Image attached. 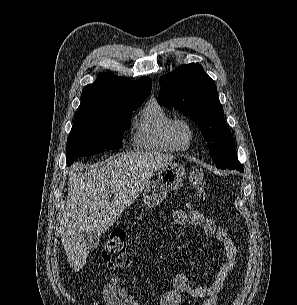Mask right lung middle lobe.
Here are the masks:
<instances>
[{"mask_svg": "<svg viewBox=\"0 0 297 305\" xmlns=\"http://www.w3.org/2000/svg\"><path fill=\"white\" fill-rule=\"evenodd\" d=\"M144 100L78 108L67 140V164L71 165L79 156L121 148L123 133L130 128L131 111L140 107Z\"/></svg>", "mask_w": 297, "mask_h": 305, "instance_id": "obj_1", "label": "right lung middle lobe"}]
</instances>
